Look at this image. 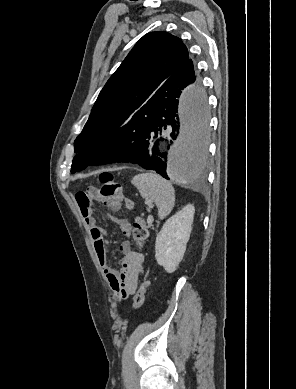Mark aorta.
I'll return each instance as SVG.
<instances>
[{
    "label": "aorta",
    "instance_id": "1",
    "mask_svg": "<svg viewBox=\"0 0 296 389\" xmlns=\"http://www.w3.org/2000/svg\"><path fill=\"white\" fill-rule=\"evenodd\" d=\"M202 90L201 81H186L184 91L178 94L180 130L167 167L168 175L176 181L198 178L205 162L210 160L209 94Z\"/></svg>",
    "mask_w": 296,
    "mask_h": 389
}]
</instances>
